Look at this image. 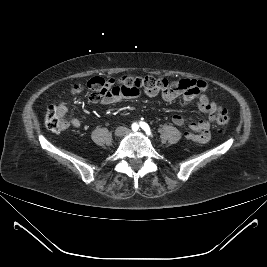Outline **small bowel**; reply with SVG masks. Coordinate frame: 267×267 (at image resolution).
I'll return each instance as SVG.
<instances>
[{
	"label": "small bowel",
	"mask_w": 267,
	"mask_h": 267,
	"mask_svg": "<svg viewBox=\"0 0 267 267\" xmlns=\"http://www.w3.org/2000/svg\"><path fill=\"white\" fill-rule=\"evenodd\" d=\"M181 83L183 84L182 89L175 91H164L161 93V96L165 101L168 102L179 97L184 103H188L193 100L198 101L199 110L208 116L206 119H200L196 122H189L183 115L175 114L172 120L177 126H188L190 131L185 132V137L189 141L205 144L210 140V126L216 117V113L221 110V107H219L207 96L206 82L196 79H185L181 80ZM86 85L91 90L89 97L93 102H99L108 105L117 103L123 98L134 97L124 94L121 89L117 87L114 79L104 80L100 77H94L91 78ZM81 88V85H74L72 91L79 92ZM149 95L153 96L155 93ZM55 108L56 113L62 119L65 128H78L81 125V122L78 118L67 117L68 108L64 102H59Z\"/></svg>",
	"instance_id": "small-bowel-1"
}]
</instances>
